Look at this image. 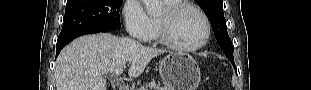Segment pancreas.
<instances>
[{"label": "pancreas", "mask_w": 311, "mask_h": 90, "mask_svg": "<svg viewBox=\"0 0 311 90\" xmlns=\"http://www.w3.org/2000/svg\"><path fill=\"white\" fill-rule=\"evenodd\" d=\"M152 86L150 83L145 85V88H141L140 90H148L150 89ZM160 90H170L169 88H167V86H165L164 88H160Z\"/></svg>", "instance_id": "cf45deb5"}]
</instances>
